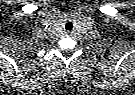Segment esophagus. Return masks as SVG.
<instances>
[{"label":"esophagus","instance_id":"34e87169","mask_svg":"<svg viewBox=\"0 0 135 95\" xmlns=\"http://www.w3.org/2000/svg\"><path fill=\"white\" fill-rule=\"evenodd\" d=\"M73 33L72 32H70V31H67L66 32V36H71Z\"/></svg>","mask_w":135,"mask_h":95}]
</instances>
